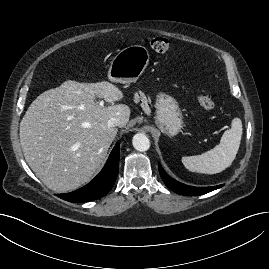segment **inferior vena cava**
<instances>
[{"label": "inferior vena cava", "mask_w": 269, "mask_h": 269, "mask_svg": "<svg viewBox=\"0 0 269 269\" xmlns=\"http://www.w3.org/2000/svg\"><path fill=\"white\" fill-rule=\"evenodd\" d=\"M120 123L121 121L118 117H112L108 120L107 125L108 127L114 128L120 126Z\"/></svg>", "instance_id": "602c4592"}]
</instances>
